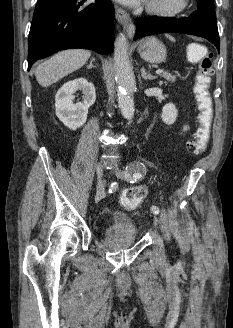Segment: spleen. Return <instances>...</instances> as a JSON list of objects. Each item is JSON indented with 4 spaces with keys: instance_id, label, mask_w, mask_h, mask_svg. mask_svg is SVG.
Wrapping results in <instances>:
<instances>
[{
    "instance_id": "obj_1",
    "label": "spleen",
    "mask_w": 233,
    "mask_h": 328,
    "mask_svg": "<svg viewBox=\"0 0 233 328\" xmlns=\"http://www.w3.org/2000/svg\"><path fill=\"white\" fill-rule=\"evenodd\" d=\"M191 51L193 53H196L197 55H199L200 48L198 46H196V45H192L191 46Z\"/></svg>"
}]
</instances>
